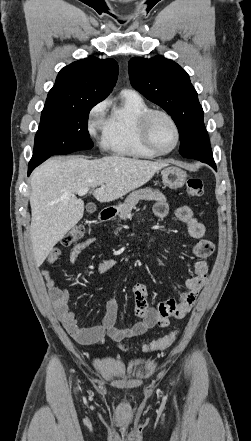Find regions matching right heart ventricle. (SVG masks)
I'll return each instance as SVG.
<instances>
[{
	"instance_id": "obj_1",
	"label": "right heart ventricle",
	"mask_w": 251,
	"mask_h": 441,
	"mask_svg": "<svg viewBox=\"0 0 251 441\" xmlns=\"http://www.w3.org/2000/svg\"><path fill=\"white\" fill-rule=\"evenodd\" d=\"M149 110L150 106L140 94L124 90L106 120L104 147L116 155L155 158L157 155L144 145L139 130L140 119Z\"/></svg>"
}]
</instances>
